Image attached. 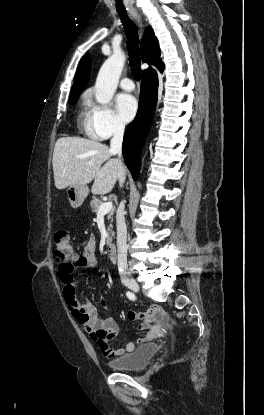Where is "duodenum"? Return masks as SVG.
<instances>
[{"instance_id": "duodenum-1", "label": "duodenum", "mask_w": 264, "mask_h": 415, "mask_svg": "<svg viewBox=\"0 0 264 415\" xmlns=\"http://www.w3.org/2000/svg\"><path fill=\"white\" fill-rule=\"evenodd\" d=\"M117 250H116V244L113 241L108 242L107 244V257L111 264H114L116 262V256Z\"/></svg>"}]
</instances>
